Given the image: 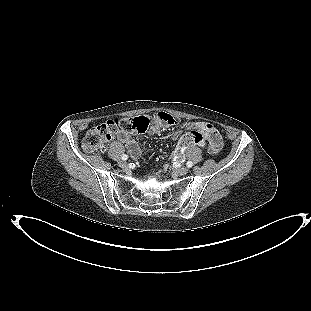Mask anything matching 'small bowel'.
Here are the masks:
<instances>
[{"label": "small bowel", "instance_id": "c3829d8e", "mask_svg": "<svg viewBox=\"0 0 311 311\" xmlns=\"http://www.w3.org/2000/svg\"><path fill=\"white\" fill-rule=\"evenodd\" d=\"M183 128L185 130H194L198 129L200 130L204 137L207 140V150L211 154H217L222 148L223 142L221 135L219 134L218 130L212 125L211 123L207 122H187L183 125ZM158 128L153 127L149 130V134H154ZM181 131H177L173 134L174 140H182L181 138ZM119 140L123 142L131 154L133 158H138L142 153V148L138 145L136 141L132 139L130 134L126 132H122L119 134ZM179 141V142H180ZM185 151V148H177L176 149V156L180 157L182 153Z\"/></svg>", "mask_w": 311, "mask_h": 311}]
</instances>
